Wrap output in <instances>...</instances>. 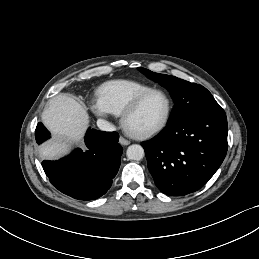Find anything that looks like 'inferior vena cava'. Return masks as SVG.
<instances>
[{"instance_id": "inferior-vena-cava-1", "label": "inferior vena cava", "mask_w": 259, "mask_h": 259, "mask_svg": "<svg viewBox=\"0 0 259 259\" xmlns=\"http://www.w3.org/2000/svg\"><path fill=\"white\" fill-rule=\"evenodd\" d=\"M97 126L99 127L100 130L102 131H115L116 128L113 124H111L110 122L104 120V119H98L97 120Z\"/></svg>"}]
</instances>
